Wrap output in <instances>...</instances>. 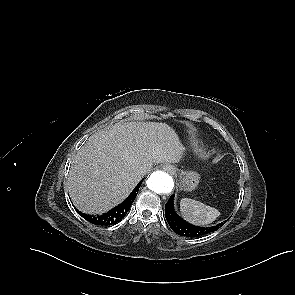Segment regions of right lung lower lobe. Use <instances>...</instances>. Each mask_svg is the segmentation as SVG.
Masks as SVG:
<instances>
[{
    "instance_id": "1",
    "label": "right lung lower lobe",
    "mask_w": 295,
    "mask_h": 295,
    "mask_svg": "<svg viewBox=\"0 0 295 295\" xmlns=\"http://www.w3.org/2000/svg\"><path fill=\"white\" fill-rule=\"evenodd\" d=\"M141 183L142 181L135 187L130 196L122 204L118 205L117 207L113 208L107 213H104L102 215H89L82 213L78 210L76 211L84 219L95 225L108 226L116 224L126 216L127 212L129 211L132 203L134 202L137 196Z\"/></svg>"
}]
</instances>
